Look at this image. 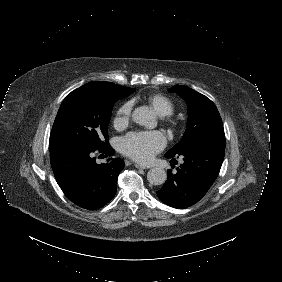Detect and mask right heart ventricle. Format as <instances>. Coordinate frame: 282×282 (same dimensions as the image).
I'll use <instances>...</instances> for the list:
<instances>
[{"instance_id": "1", "label": "right heart ventricle", "mask_w": 282, "mask_h": 282, "mask_svg": "<svg viewBox=\"0 0 282 282\" xmlns=\"http://www.w3.org/2000/svg\"><path fill=\"white\" fill-rule=\"evenodd\" d=\"M154 111L160 116H168L173 112L172 103L162 95H154L149 99Z\"/></svg>"}]
</instances>
